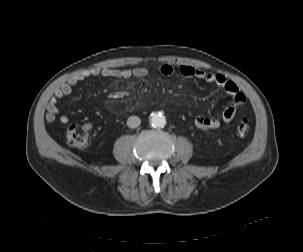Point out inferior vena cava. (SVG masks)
I'll return each instance as SVG.
<instances>
[{
    "label": "inferior vena cava",
    "instance_id": "1",
    "mask_svg": "<svg viewBox=\"0 0 303 252\" xmlns=\"http://www.w3.org/2000/svg\"><path fill=\"white\" fill-rule=\"evenodd\" d=\"M141 123L138 116H130L127 120V125L129 128H137Z\"/></svg>",
    "mask_w": 303,
    "mask_h": 252
}]
</instances>
